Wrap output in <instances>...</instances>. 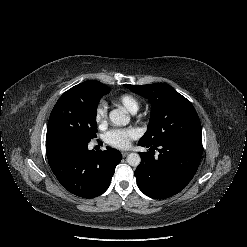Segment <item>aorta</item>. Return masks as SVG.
I'll return each mask as SVG.
<instances>
[{
    "label": "aorta",
    "mask_w": 247,
    "mask_h": 247,
    "mask_svg": "<svg viewBox=\"0 0 247 247\" xmlns=\"http://www.w3.org/2000/svg\"><path fill=\"white\" fill-rule=\"evenodd\" d=\"M110 120L117 126H125L130 122V116L124 108L114 109L109 114ZM127 163L130 166H138L141 158L137 153H130L126 158Z\"/></svg>",
    "instance_id": "obj_1"
}]
</instances>
